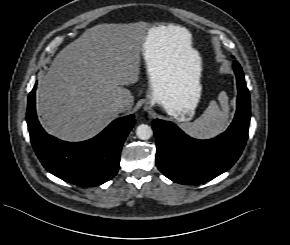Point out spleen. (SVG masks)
Returning <instances> with one entry per match:
<instances>
[{
	"label": "spleen",
	"mask_w": 290,
	"mask_h": 245,
	"mask_svg": "<svg viewBox=\"0 0 290 245\" xmlns=\"http://www.w3.org/2000/svg\"><path fill=\"white\" fill-rule=\"evenodd\" d=\"M217 102L212 100L204 113L194 122L182 124L183 130L198 139H209L223 132L228 124L229 104L225 91L220 92Z\"/></svg>",
	"instance_id": "1"
}]
</instances>
